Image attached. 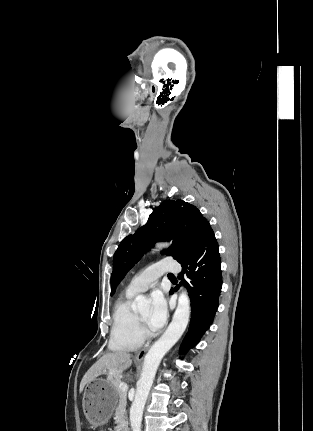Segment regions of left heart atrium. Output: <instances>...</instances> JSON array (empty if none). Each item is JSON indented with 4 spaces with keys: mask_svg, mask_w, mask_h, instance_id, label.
I'll return each mask as SVG.
<instances>
[{
    "mask_svg": "<svg viewBox=\"0 0 313 431\" xmlns=\"http://www.w3.org/2000/svg\"><path fill=\"white\" fill-rule=\"evenodd\" d=\"M167 303L163 294L159 291L151 295V308L147 324L151 330L160 329L166 322Z\"/></svg>",
    "mask_w": 313,
    "mask_h": 431,
    "instance_id": "obj_1",
    "label": "left heart atrium"
}]
</instances>
